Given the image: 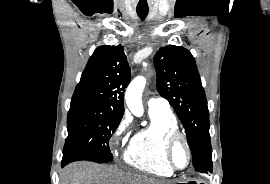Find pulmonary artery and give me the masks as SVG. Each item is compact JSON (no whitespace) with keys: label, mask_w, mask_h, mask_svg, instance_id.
<instances>
[{"label":"pulmonary artery","mask_w":270,"mask_h":184,"mask_svg":"<svg viewBox=\"0 0 270 184\" xmlns=\"http://www.w3.org/2000/svg\"><path fill=\"white\" fill-rule=\"evenodd\" d=\"M147 104L149 109H170L168 101L163 98L152 97Z\"/></svg>","instance_id":"pulmonary-artery-1"}]
</instances>
